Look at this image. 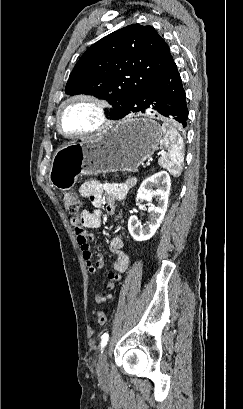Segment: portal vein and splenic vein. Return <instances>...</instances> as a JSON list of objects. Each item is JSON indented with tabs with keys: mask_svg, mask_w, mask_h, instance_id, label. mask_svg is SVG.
<instances>
[{
	"mask_svg": "<svg viewBox=\"0 0 243 409\" xmlns=\"http://www.w3.org/2000/svg\"><path fill=\"white\" fill-rule=\"evenodd\" d=\"M147 165L149 166V165H150V162H147Z\"/></svg>",
	"mask_w": 243,
	"mask_h": 409,
	"instance_id": "18ae733b",
	"label": "portal vein and splenic vein"
}]
</instances>
